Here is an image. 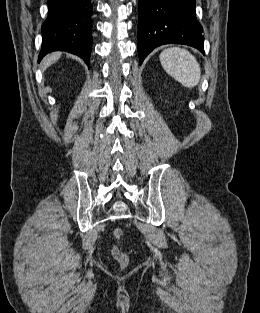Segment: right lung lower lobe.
Segmentation results:
<instances>
[{
	"label": "right lung lower lobe",
	"instance_id": "obj_1",
	"mask_svg": "<svg viewBox=\"0 0 260 313\" xmlns=\"http://www.w3.org/2000/svg\"><path fill=\"white\" fill-rule=\"evenodd\" d=\"M48 17L42 25L40 61L52 51L76 54L89 64L91 52V0H47Z\"/></svg>",
	"mask_w": 260,
	"mask_h": 313
}]
</instances>
